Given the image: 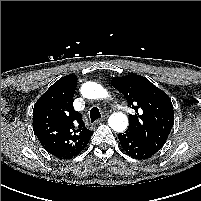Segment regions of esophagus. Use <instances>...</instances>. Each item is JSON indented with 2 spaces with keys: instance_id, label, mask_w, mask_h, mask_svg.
<instances>
[{
  "instance_id": "34e87169",
  "label": "esophagus",
  "mask_w": 201,
  "mask_h": 201,
  "mask_svg": "<svg viewBox=\"0 0 201 201\" xmlns=\"http://www.w3.org/2000/svg\"><path fill=\"white\" fill-rule=\"evenodd\" d=\"M107 117H108V114L103 115L101 119H98L96 121V123L99 124V123L103 122L105 119H107Z\"/></svg>"
}]
</instances>
